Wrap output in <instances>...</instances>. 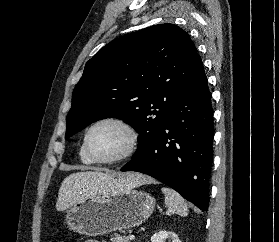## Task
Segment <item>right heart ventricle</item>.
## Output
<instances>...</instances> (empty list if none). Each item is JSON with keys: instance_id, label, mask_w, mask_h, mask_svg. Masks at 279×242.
<instances>
[{"instance_id": "obj_1", "label": "right heart ventricle", "mask_w": 279, "mask_h": 242, "mask_svg": "<svg viewBox=\"0 0 279 242\" xmlns=\"http://www.w3.org/2000/svg\"><path fill=\"white\" fill-rule=\"evenodd\" d=\"M79 159L83 164H86V165L93 164V162L85 154L84 149H83V144L79 148Z\"/></svg>"}]
</instances>
